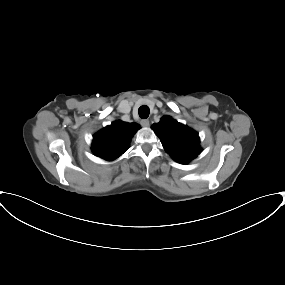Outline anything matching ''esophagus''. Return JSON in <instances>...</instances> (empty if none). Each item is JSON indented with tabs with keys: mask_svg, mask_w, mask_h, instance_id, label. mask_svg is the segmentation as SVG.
<instances>
[{
	"mask_svg": "<svg viewBox=\"0 0 285 285\" xmlns=\"http://www.w3.org/2000/svg\"><path fill=\"white\" fill-rule=\"evenodd\" d=\"M140 123L143 127H148L150 125L149 120H147V119L141 120Z\"/></svg>",
	"mask_w": 285,
	"mask_h": 285,
	"instance_id": "1",
	"label": "esophagus"
}]
</instances>
